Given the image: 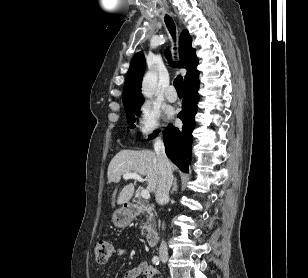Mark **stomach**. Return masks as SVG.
Masks as SVG:
<instances>
[{
	"mask_svg": "<svg viewBox=\"0 0 308 278\" xmlns=\"http://www.w3.org/2000/svg\"><path fill=\"white\" fill-rule=\"evenodd\" d=\"M131 220L130 211L127 208H120L112 215V222L116 227H126Z\"/></svg>",
	"mask_w": 308,
	"mask_h": 278,
	"instance_id": "1",
	"label": "stomach"
}]
</instances>
